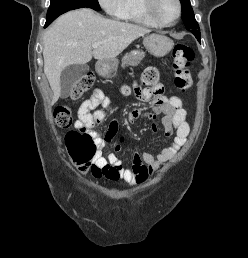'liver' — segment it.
I'll use <instances>...</instances> for the list:
<instances>
[{
	"instance_id": "obj_1",
	"label": "liver",
	"mask_w": 248,
	"mask_h": 258,
	"mask_svg": "<svg viewBox=\"0 0 248 258\" xmlns=\"http://www.w3.org/2000/svg\"><path fill=\"white\" fill-rule=\"evenodd\" d=\"M144 27L106 19L89 8L67 12L56 19L43 38L44 73L54 104L61 95L60 76L72 64L115 59L135 39L149 33ZM93 43H100L92 48Z\"/></svg>"
}]
</instances>
